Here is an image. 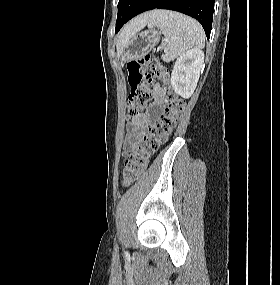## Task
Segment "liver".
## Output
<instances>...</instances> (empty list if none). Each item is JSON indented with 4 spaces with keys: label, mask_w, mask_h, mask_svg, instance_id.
Instances as JSON below:
<instances>
[{
    "label": "liver",
    "mask_w": 280,
    "mask_h": 285,
    "mask_svg": "<svg viewBox=\"0 0 280 285\" xmlns=\"http://www.w3.org/2000/svg\"><path fill=\"white\" fill-rule=\"evenodd\" d=\"M156 15V11L144 13L131 20L120 32L117 39V51L123 47L125 42L140 31L146 24H148Z\"/></svg>",
    "instance_id": "liver-1"
}]
</instances>
